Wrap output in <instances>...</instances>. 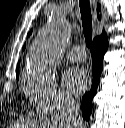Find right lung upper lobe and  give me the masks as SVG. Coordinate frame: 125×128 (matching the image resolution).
<instances>
[{"instance_id": "1", "label": "right lung upper lobe", "mask_w": 125, "mask_h": 128, "mask_svg": "<svg viewBox=\"0 0 125 128\" xmlns=\"http://www.w3.org/2000/svg\"><path fill=\"white\" fill-rule=\"evenodd\" d=\"M101 9V6L100 5H97V10L100 11ZM98 18L100 19V16L98 15ZM32 30L30 31V33L28 34V36L31 34ZM26 47V44L24 45V48ZM17 73H18V70H17Z\"/></svg>"}]
</instances>
